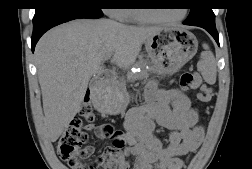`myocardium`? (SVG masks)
Wrapping results in <instances>:
<instances>
[{
	"instance_id": "myocardium-1",
	"label": "myocardium",
	"mask_w": 252,
	"mask_h": 169,
	"mask_svg": "<svg viewBox=\"0 0 252 169\" xmlns=\"http://www.w3.org/2000/svg\"><path fill=\"white\" fill-rule=\"evenodd\" d=\"M134 12L138 20L144 23H177L182 21L186 17V10H182L181 14L178 17L172 19L153 18L148 16L146 12L141 9H134Z\"/></svg>"
}]
</instances>
